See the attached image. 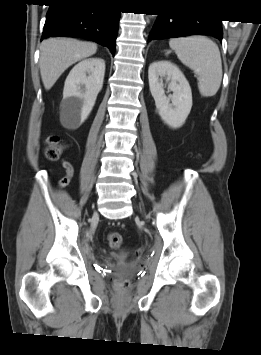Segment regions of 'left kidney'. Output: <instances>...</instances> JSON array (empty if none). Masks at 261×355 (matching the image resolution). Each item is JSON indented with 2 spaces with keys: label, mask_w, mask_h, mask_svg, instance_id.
<instances>
[{
  "label": "left kidney",
  "mask_w": 261,
  "mask_h": 355,
  "mask_svg": "<svg viewBox=\"0 0 261 355\" xmlns=\"http://www.w3.org/2000/svg\"><path fill=\"white\" fill-rule=\"evenodd\" d=\"M162 77H166L168 88L173 92L169 97L165 95ZM148 79L161 119L171 128L181 127L192 107L191 87L182 71L169 61H156L149 66Z\"/></svg>",
  "instance_id": "obj_1"
}]
</instances>
